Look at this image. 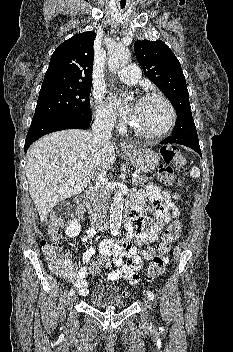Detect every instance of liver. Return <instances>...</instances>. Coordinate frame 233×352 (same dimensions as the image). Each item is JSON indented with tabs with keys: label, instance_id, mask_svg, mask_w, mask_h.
<instances>
[{
	"label": "liver",
	"instance_id": "liver-1",
	"mask_svg": "<svg viewBox=\"0 0 233 352\" xmlns=\"http://www.w3.org/2000/svg\"><path fill=\"white\" fill-rule=\"evenodd\" d=\"M115 156L112 143L98 145L86 130L57 131L36 141L27 153L26 177L41 222L58 202L81 193L98 168L110 169Z\"/></svg>",
	"mask_w": 233,
	"mask_h": 352
}]
</instances>
